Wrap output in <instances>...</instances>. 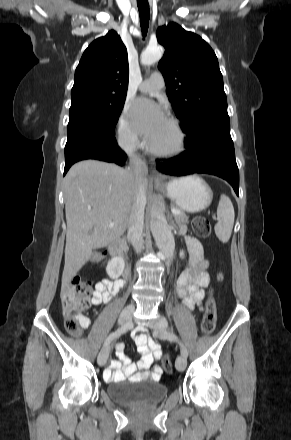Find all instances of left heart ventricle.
I'll use <instances>...</instances> for the list:
<instances>
[{
    "label": "left heart ventricle",
    "instance_id": "b2bd125f",
    "mask_svg": "<svg viewBox=\"0 0 291 440\" xmlns=\"http://www.w3.org/2000/svg\"><path fill=\"white\" fill-rule=\"evenodd\" d=\"M176 136L171 128L169 121L159 130L157 135L149 141L153 146L160 149H170L174 146Z\"/></svg>",
    "mask_w": 291,
    "mask_h": 440
}]
</instances>
